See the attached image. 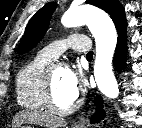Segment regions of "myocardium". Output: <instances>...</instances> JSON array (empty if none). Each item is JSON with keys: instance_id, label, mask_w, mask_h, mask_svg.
<instances>
[{"instance_id": "obj_1", "label": "myocardium", "mask_w": 142, "mask_h": 128, "mask_svg": "<svg viewBox=\"0 0 142 128\" xmlns=\"http://www.w3.org/2000/svg\"><path fill=\"white\" fill-rule=\"evenodd\" d=\"M62 67L63 66H56ZM56 67H50L46 70L45 79H44V88H43V101L45 107L52 113L57 115H67L75 111L81 105V98L77 94L74 102L67 108H60L56 105L53 96V88H52V71Z\"/></svg>"}]
</instances>
